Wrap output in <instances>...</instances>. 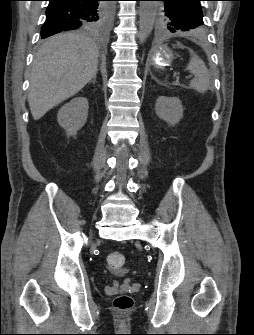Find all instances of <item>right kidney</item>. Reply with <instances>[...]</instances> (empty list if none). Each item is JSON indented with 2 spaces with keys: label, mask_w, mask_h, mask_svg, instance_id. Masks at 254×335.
Wrapping results in <instances>:
<instances>
[{
  "label": "right kidney",
  "mask_w": 254,
  "mask_h": 335,
  "mask_svg": "<svg viewBox=\"0 0 254 335\" xmlns=\"http://www.w3.org/2000/svg\"><path fill=\"white\" fill-rule=\"evenodd\" d=\"M88 108V100L85 97H76L59 109L58 123L65 129L67 135H75L84 126Z\"/></svg>",
  "instance_id": "right-kidney-1"
}]
</instances>
